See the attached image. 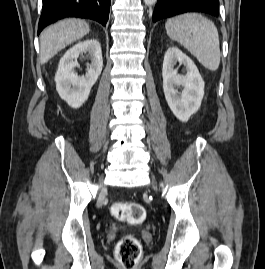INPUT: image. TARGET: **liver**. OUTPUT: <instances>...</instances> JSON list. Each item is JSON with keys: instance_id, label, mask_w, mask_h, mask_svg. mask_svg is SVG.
Instances as JSON below:
<instances>
[{"instance_id": "6515ba94", "label": "liver", "mask_w": 265, "mask_h": 269, "mask_svg": "<svg viewBox=\"0 0 265 269\" xmlns=\"http://www.w3.org/2000/svg\"><path fill=\"white\" fill-rule=\"evenodd\" d=\"M90 32L89 24L80 19H66L46 28L40 35V61L47 63L72 42Z\"/></svg>"}]
</instances>
